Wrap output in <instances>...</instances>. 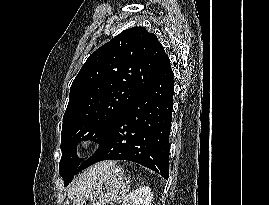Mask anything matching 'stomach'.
Here are the masks:
<instances>
[{
    "label": "stomach",
    "mask_w": 269,
    "mask_h": 205,
    "mask_svg": "<svg viewBox=\"0 0 269 205\" xmlns=\"http://www.w3.org/2000/svg\"><path fill=\"white\" fill-rule=\"evenodd\" d=\"M124 168L113 166L99 174L88 192L74 199L73 205H110L120 202L124 189Z\"/></svg>",
    "instance_id": "0dacf381"
}]
</instances>
